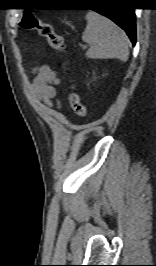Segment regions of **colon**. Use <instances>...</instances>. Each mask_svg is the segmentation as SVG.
<instances>
[{
  "instance_id": "obj_1",
  "label": "colon",
  "mask_w": 156,
  "mask_h": 266,
  "mask_svg": "<svg viewBox=\"0 0 156 266\" xmlns=\"http://www.w3.org/2000/svg\"><path fill=\"white\" fill-rule=\"evenodd\" d=\"M20 25L26 30L36 31L41 37L48 41L53 49L60 52L65 51L66 45L64 38L55 32L54 27L50 23L43 22L34 13L25 12L20 21ZM68 99L73 112L78 117L84 118L87 113L86 107L81 102L74 85L70 86Z\"/></svg>"
}]
</instances>
